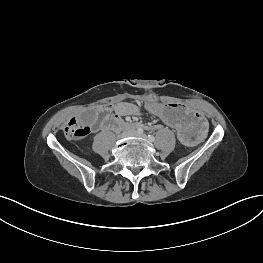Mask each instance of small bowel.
I'll list each match as a JSON object with an SVG mask.
<instances>
[{
  "mask_svg": "<svg viewBox=\"0 0 263 263\" xmlns=\"http://www.w3.org/2000/svg\"><path fill=\"white\" fill-rule=\"evenodd\" d=\"M112 109L114 110L116 117L126 116V115H137L140 112L137 106L125 102L117 103L116 105L113 106ZM153 128H157V126H154Z\"/></svg>",
  "mask_w": 263,
  "mask_h": 263,
  "instance_id": "obj_1",
  "label": "small bowel"
}]
</instances>
